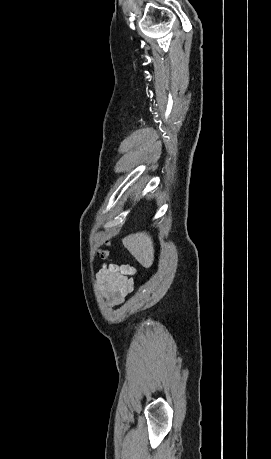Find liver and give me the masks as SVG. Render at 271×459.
Listing matches in <instances>:
<instances>
[{"mask_svg":"<svg viewBox=\"0 0 271 459\" xmlns=\"http://www.w3.org/2000/svg\"><path fill=\"white\" fill-rule=\"evenodd\" d=\"M123 245L129 249L130 253L134 255L135 259L144 265L150 267L154 259V247L151 235L146 231H139V233H130L122 239Z\"/></svg>","mask_w":271,"mask_h":459,"instance_id":"1","label":"liver"}]
</instances>
